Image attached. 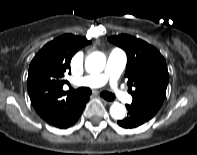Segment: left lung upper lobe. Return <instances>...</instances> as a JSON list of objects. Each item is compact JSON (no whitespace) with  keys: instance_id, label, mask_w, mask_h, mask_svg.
Wrapping results in <instances>:
<instances>
[{"instance_id":"obj_1","label":"left lung upper lobe","mask_w":197,"mask_h":155,"mask_svg":"<svg viewBox=\"0 0 197 155\" xmlns=\"http://www.w3.org/2000/svg\"><path fill=\"white\" fill-rule=\"evenodd\" d=\"M108 40L127 54L125 77L133 97L131 105L153 117L164 101L169 79L164 57L155 47L130 35L112 36Z\"/></svg>"}]
</instances>
